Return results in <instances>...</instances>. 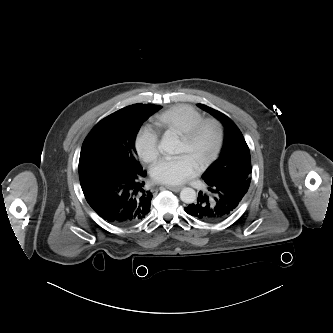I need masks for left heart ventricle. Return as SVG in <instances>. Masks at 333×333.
<instances>
[{"label":"left heart ventricle","instance_id":"b2bd125f","mask_svg":"<svg viewBox=\"0 0 333 333\" xmlns=\"http://www.w3.org/2000/svg\"><path fill=\"white\" fill-rule=\"evenodd\" d=\"M216 142V132L212 126H207L193 144L180 139L178 153L188 155L198 165L213 151Z\"/></svg>","mask_w":333,"mask_h":333}]
</instances>
